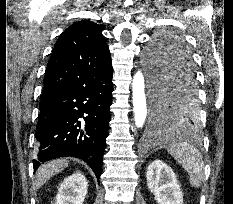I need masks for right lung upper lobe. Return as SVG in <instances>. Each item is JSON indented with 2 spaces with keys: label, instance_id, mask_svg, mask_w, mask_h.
Instances as JSON below:
<instances>
[{
  "label": "right lung upper lobe",
  "instance_id": "right-lung-upper-lobe-1",
  "mask_svg": "<svg viewBox=\"0 0 233 204\" xmlns=\"http://www.w3.org/2000/svg\"><path fill=\"white\" fill-rule=\"evenodd\" d=\"M111 65L110 51L94 22L82 20L67 28L55 43L47 64L42 96L73 84L90 72Z\"/></svg>",
  "mask_w": 233,
  "mask_h": 204
}]
</instances>
